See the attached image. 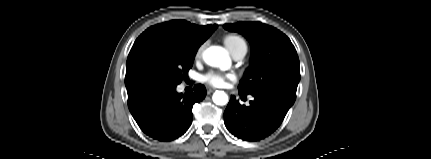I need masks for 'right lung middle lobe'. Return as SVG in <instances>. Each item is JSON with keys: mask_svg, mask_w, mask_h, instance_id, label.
<instances>
[{"mask_svg": "<svg viewBox=\"0 0 431 159\" xmlns=\"http://www.w3.org/2000/svg\"><path fill=\"white\" fill-rule=\"evenodd\" d=\"M197 50L161 37L137 38L127 58V72L141 86L178 85L187 79Z\"/></svg>", "mask_w": 431, "mask_h": 159, "instance_id": "right-lung-middle-lobe-1", "label": "right lung middle lobe"}]
</instances>
